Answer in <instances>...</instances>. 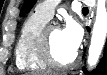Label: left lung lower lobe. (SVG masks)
Returning a JSON list of instances; mask_svg holds the SVG:
<instances>
[{"instance_id":"obj_1","label":"left lung lower lobe","mask_w":107,"mask_h":75,"mask_svg":"<svg viewBox=\"0 0 107 75\" xmlns=\"http://www.w3.org/2000/svg\"><path fill=\"white\" fill-rule=\"evenodd\" d=\"M83 71L86 75H107V43H106L103 59L101 60L100 64L97 66L96 70H94L92 73H88L86 71V68L84 67Z\"/></svg>"}]
</instances>
